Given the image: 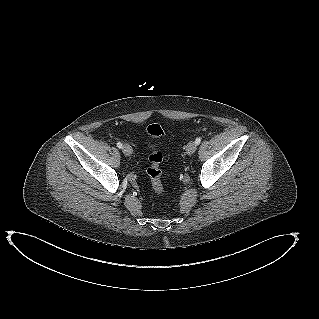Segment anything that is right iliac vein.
Here are the masks:
<instances>
[{"label": "right iliac vein", "mask_w": 319, "mask_h": 319, "mask_svg": "<svg viewBox=\"0 0 319 319\" xmlns=\"http://www.w3.org/2000/svg\"><path fill=\"white\" fill-rule=\"evenodd\" d=\"M122 151L125 155L130 156L133 153V149L130 145L125 144L122 148Z\"/></svg>", "instance_id": "1"}]
</instances>
